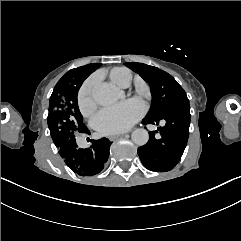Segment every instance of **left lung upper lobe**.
<instances>
[{"label":"left lung upper lobe","instance_id":"left-lung-upper-lobe-1","mask_svg":"<svg viewBox=\"0 0 241 241\" xmlns=\"http://www.w3.org/2000/svg\"><path fill=\"white\" fill-rule=\"evenodd\" d=\"M125 65L150 85L152 103L145 118L162 115L178 103L189 101L183 88L165 71L137 62H129Z\"/></svg>","mask_w":241,"mask_h":241}]
</instances>
